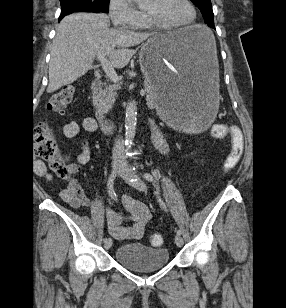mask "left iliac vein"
<instances>
[{"mask_svg":"<svg viewBox=\"0 0 286 308\" xmlns=\"http://www.w3.org/2000/svg\"><path fill=\"white\" fill-rule=\"evenodd\" d=\"M120 153H121V159H120V162H119V169L118 170H119L120 175L125 180H129L131 176L133 177V175L130 173V171L128 169V164H127L125 156L123 155L124 154L123 150H121ZM129 184L139 191H142V192L147 191L146 184L141 179H136L133 182H129ZM175 243L178 247L183 246L184 241H183V238L181 237V235L175 236Z\"/></svg>","mask_w":286,"mask_h":308,"instance_id":"obj_1","label":"left iliac vein"}]
</instances>
